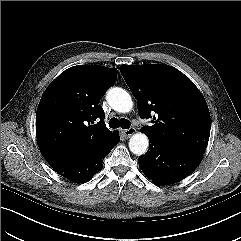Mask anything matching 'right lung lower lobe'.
Returning a JSON list of instances; mask_svg holds the SVG:
<instances>
[{"label": "right lung lower lobe", "mask_w": 241, "mask_h": 241, "mask_svg": "<svg viewBox=\"0 0 241 241\" xmlns=\"http://www.w3.org/2000/svg\"><path fill=\"white\" fill-rule=\"evenodd\" d=\"M119 140V136L115 134L108 144L88 157L78 162L55 168V171L76 183L87 182L94 176V174L102 169L103 158L110 153Z\"/></svg>", "instance_id": "right-lung-lower-lobe-1"}]
</instances>
